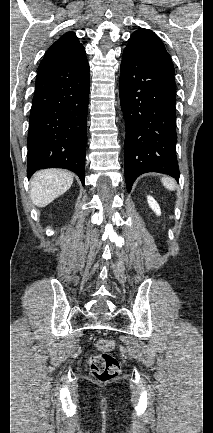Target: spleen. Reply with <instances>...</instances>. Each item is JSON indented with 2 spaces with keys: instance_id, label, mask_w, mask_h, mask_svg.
<instances>
[{
  "instance_id": "spleen-1",
  "label": "spleen",
  "mask_w": 213,
  "mask_h": 433,
  "mask_svg": "<svg viewBox=\"0 0 213 433\" xmlns=\"http://www.w3.org/2000/svg\"><path fill=\"white\" fill-rule=\"evenodd\" d=\"M161 182L168 190H174L176 188L174 180L169 177H163Z\"/></svg>"
}]
</instances>
